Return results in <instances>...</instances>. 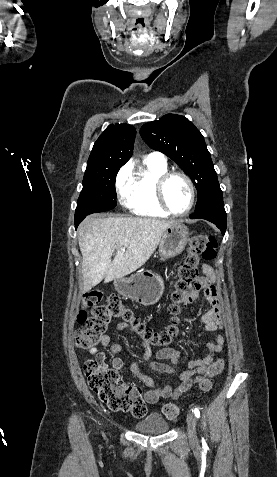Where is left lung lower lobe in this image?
<instances>
[{
    "label": "left lung lower lobe",
    "mask_w": 277,
    "mask_h": 477,
    "mask_svg": "<svg viewBox=\"0 0 277 477\" xmlns=\"http://www.w3.org/2000/svg\"><path fill=\"white\" fill-rule=\"evenodd\" d=\"M190 218L208 220L216 224L224 235L226 231V212L224 209L223 194L220 193L216 195L204 208L191 214Z\"/></svg>",
    "instance_id": "obj_1"
}]
</instances>
